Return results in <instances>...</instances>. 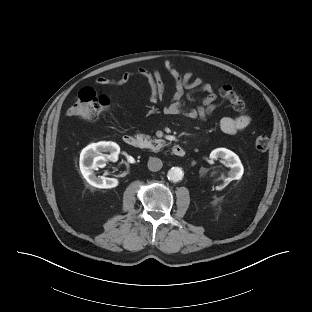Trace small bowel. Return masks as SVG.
<instances>
[{
  "label": "small bowel",
  "mask_w": 312,
  "mask_h": 312,
  "mask_svg": "<svg viewBox=\"0 0 312 312\" xmlns=\"http://www.w3.org/2000/svg\"><path fill=\"white\" fill-rule=\"evenodd\" d=\"M168 71L175 79V92L170 102L164 107L167 115L183 116L189 119L205 121L217 107V96L210 85L205 84L201 78L192 79L191 73L181 74L169 63L166 64ZM134 74L144 77L151 87V100L157 103L163 97L164 84L158 69L152 71L140 68L135 73H124L118 79L99 77L98 85L121 86L126 84ZM206 92L202 99H195L193 95L198 92ZM186 95V101L183 100ZM251 122L248 115L225 116L220 120V128L223 132L234 135L244 130Z\"/></svg>",
  "instance_id": "1"
}]
</instances>
